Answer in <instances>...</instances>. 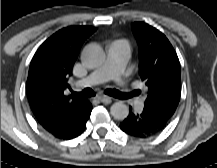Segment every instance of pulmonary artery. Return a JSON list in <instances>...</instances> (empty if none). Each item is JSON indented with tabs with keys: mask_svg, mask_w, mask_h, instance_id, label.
<instances>
[{
	"mask_svg": "<svg viewBox=\"0 0 217 168\" xmlns=\"http://www.w3.org/2000/svg\"><path fill=\"white\" fill-rule=\"evenodd\" d=\"M130 55V49L126 42L118 40L111 43L108 47V57L104 65L87 75L81 81V84L92 86L111 80L123 94L130 98L134 94L124 76ZM134 104L137 108H141L143 106V98H136Z\"/></svg>",
	"mask_w": 217,
	"mask_h": 168,
	"instance_id": "pulmonary-artery-1",
	"label": "pulmonary artery"
}]
</instances>
